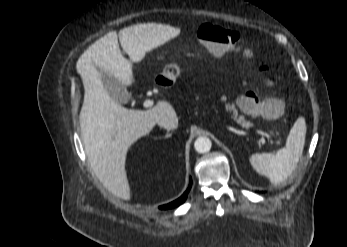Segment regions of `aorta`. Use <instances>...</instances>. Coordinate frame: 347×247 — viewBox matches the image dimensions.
Returning a JSON list of instances; mask_svg holds the SVG:
<instances>
[{
    "label": "aorta",
    "mask_w": 347,
    "mask_h": 247,
    "mask_svg": "<svg viewBox=\"0 0 347 247\" xmlns=\"http://www.w3.org/2000/svg\"><path fill=\"white\" fill-rule=\"evenodd\" d=\"M212 146L208 137H198L194 143V148L198 153L204 154L210 151Z\"/></svg>",
    "instance_id": "obj_1"
}]
</instances>
